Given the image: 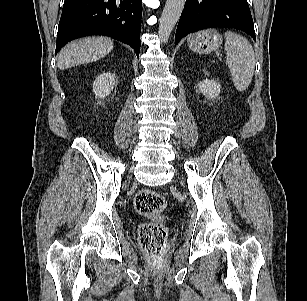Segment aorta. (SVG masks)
<instances>
[{"instance_id":"762f6f07","label":"aorta","mask_w":307,"mask_h":301,"mask_svg":"<svg viewBox=\"0 0 307 301\" xmlns=\"http://www.w3.org/2000/svg\"><path fill=\"white\" fill-rule=\"evenodd\" d=\"M185 0H167L163 9L158 33L163 42H167L173 28L178 22L183 11Z\"/></svg>"}]
</instances>
